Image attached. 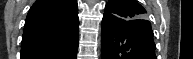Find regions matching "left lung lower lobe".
<instances>
[{
  "instance_id": "obj_1",
  "label": "left lung lower lobe",
  "mask_w": 193,
  "mask_h": 59,
  "mask_svg": "<svg viewBox=\"0 0 193 59\" xmlns=\"http://www.w3.org/2000/svg\"><path fill=\"white\" fill-rule=\"evenodd\" d=\"M149 21H126L110 13L102 19V59H157Z\"/></svg>"
}]
</instances>
